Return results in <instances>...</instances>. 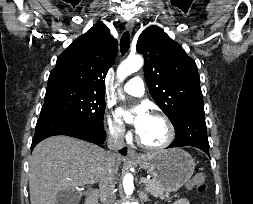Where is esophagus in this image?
Wrapping results in <instances>:
<instances>
[{
    "label": "esophagus",
    "instance_id": "obj_1",
    "mask_svg": "<svg viewBox=\"0 0 253 204\" xmlns=\"http://www.w3.org/2000/svg\"><path fill=\"white\" fill-rule=\"evenodd\" d=\"M133 27H134V21L133 20H128L127 23H126V29L131 32L133 30ZM127 155L130 158H140L139 154H137L131 148L128 149Z\"/></svg>",
    "mask_w": 253,
    "mask_h": 204
}]
</instances>
